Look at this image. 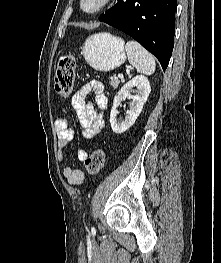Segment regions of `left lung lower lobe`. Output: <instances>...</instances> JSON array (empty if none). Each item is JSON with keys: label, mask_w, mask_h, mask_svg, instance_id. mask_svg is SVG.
<instances>
[{"label": "left lung lower lobe", "mask_w": 221, "mask_h": 263, "mask_svg": "<svg viewBox=\"0 0 221 263\" xmlns=\"http://www.w3.org/2000/svg\"><path fill=\"white\" fill-rule=\"evenodd\" d=\"M176 5L177 0H118L99 20L133 37L166 70L174 46Z\"/></svg>", "instance_id": "1"}]
</instances>
